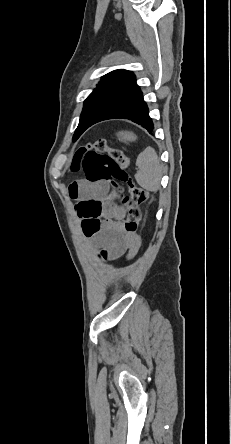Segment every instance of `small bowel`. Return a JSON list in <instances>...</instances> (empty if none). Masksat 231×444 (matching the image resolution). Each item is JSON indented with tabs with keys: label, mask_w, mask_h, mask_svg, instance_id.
Here are the masks:
<instances>
[{
	"label": "small bowel",
	"mask_w": 231,
	"mask_h": 444,
	"mask_svg": "<svg viewBox=\"0 0 231 444\" xmlns=\"http://www.w3.org/2000/svg\"><path fill=\"white\" fill-rule=\"evenodd\" d=\"M69 196L81 202L95 201L100 203L99 219L101 226L93 235L100 247V256L104 259L115 260L124 255L134 256L140 247L141 240L137 235L124 232L122 221L126 211L109 195V186L105 181H77L70 185Z\"/></svg>",
	"instance_id": "obj_1"
}]
</instances>
